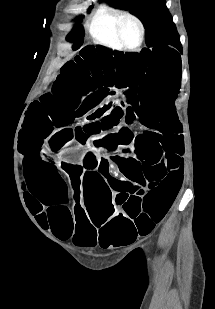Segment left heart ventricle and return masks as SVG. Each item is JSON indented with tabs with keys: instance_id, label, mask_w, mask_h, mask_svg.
I'll return each mask as SVG.
<instances>
[{
	"instance_id": "left-heart-ventricle-1",
	"label": "left heart ventricle",
	"mask_w": 215,
	"mask_h": 309,
	"mask_svg": "<svg viewBox=\"0 0 215 309\" xmlns=\"http://www.w3.org/2000/svg\"><path fill=\"white\" fill-rule=\"evenodd\" d=\"M119 33H121V39H123L125 46H133L137 43L138 40V31L136 26L129 22L125 21L118 28Z\"/></svg>"
}]
</instances>
